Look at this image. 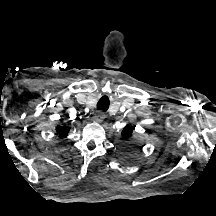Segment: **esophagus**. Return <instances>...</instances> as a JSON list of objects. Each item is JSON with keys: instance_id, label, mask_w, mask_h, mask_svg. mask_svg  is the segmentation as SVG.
I'll list each match as a JSON object with an SVG mask.
<instances>
[{"instance_id": "esophagus-1", "label": "esophagus", "mask_w": 216, "mask_h": 216, "mask_svg": "<svg viewBox=\"0 0 216 216\" xmlns=\"http://www.w3.org/2000/svg\"><path fill=\"white\" fill-rule=\"evenodd\" d=\"M104 118H105V114L103 112L99 111L92 117V120L97 122V123H100L104 120Z\"/></svg>"}]
</instances>
